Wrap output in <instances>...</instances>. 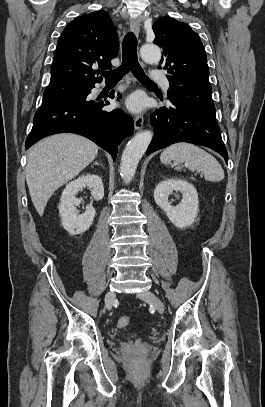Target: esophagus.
Segmentation results:
<instances>
[{"mask_svg": "<svg viewBox=\"0 0 265 407\" xmlns=\"http://www.w3.org/2000/svg\"><path fill=\"white\" fill-rule=\"evenodd\" d=\"M130 28L132 30V32L136 35L139 36L140 34V24L139 22L132 18L130 19ZM143 123H144V117L143 115H137L134 119V128L135 130H140L143 127Z\"/></svg>", "mask_w": 265, "mask_h": 407, "instance_id": "obj_1", "label": "esophagus"}]
</instances>
